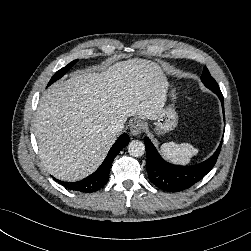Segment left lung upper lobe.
<instances>
[{"label": "left lung upper lobe", "instance_id": "left-lung-upper-lobe-1", "mask_svg": "<svg viewBox=\"0 0 251 251\" xmlns=\"http://www.w3.org/2000/svg\"><path fill=\"white\" fill-rule=\"evenodd\" d=\"M201 80L204 83V85L207 88H209L210 90H220L215 79L210 75V73L206 67H204V69H203V74L201 76Z\"/></svg>", "mask_w": 251, "mask_h": 251}]
</instances>
